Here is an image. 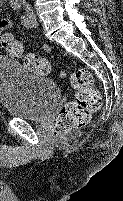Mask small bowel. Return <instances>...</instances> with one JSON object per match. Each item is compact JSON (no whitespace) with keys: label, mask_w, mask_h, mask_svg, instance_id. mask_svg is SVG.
Segmentation results:
<instances>
[{"label":"small bowel","mask_w":123,"mask_h":201,"mask_svg":"<svg viewBox=\"0 0 123 201\" xmlns=\"http://www.w3.org/2000/svg\"><path fill=\"white\" fill-rule=\"evenodd\" d=\"M12 27V22L9 18L7 17H2L0 19V39H1V44H2V41H3V38L6 34H9V33H6V31L8 29H10Z\"/></svg>","instance_id":"small-bowel-1"}]
</instances>
